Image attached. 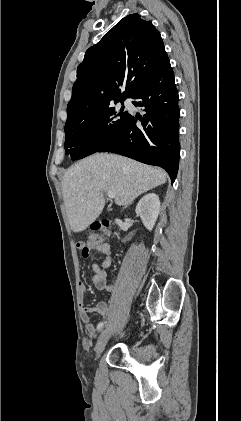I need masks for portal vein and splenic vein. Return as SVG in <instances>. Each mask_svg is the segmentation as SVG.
<instances>
[{"label": "portal vein and splenic vein", "instance_id": "obj_1", "mask_svg": "<svg viewBox=\"0 0 241 421\" xmlns=\"http://www.w3.org/2000/svg\"><path fill=\"white\" fill-rule=\"evenodd\" d=\"M107 195H108V197L109 198H115V196H116V194H115V192L114 191H109L108 193H107Z\"/></svg>", "mask_w": 241, "mask_h": 421}]
</instances>
